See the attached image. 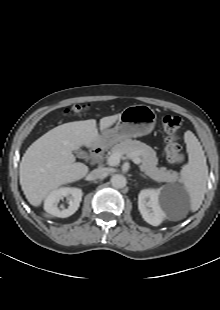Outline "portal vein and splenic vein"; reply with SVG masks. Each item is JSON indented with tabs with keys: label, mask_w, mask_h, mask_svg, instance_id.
I'll use <instances>...</instances> for the list:
<instances>
[{
	"label": "portal vein and splenic vein",
	"mask_w": 220,
	"mask_h": 310,
	"mask_svg": "<svg viewBox=\"0 0 220 310\" xmlns=\"http://www.w3.org/2000/svg\"><path fill=\"white\" fill-rule=\"evenodd\" d=\"M121 154L116 152V153H113L111 154L108 159H107V164L109 166H116L120 163V159H121ZM130 158L132 159V161L137 164V165H140L141 163V159L138 158L137 156L135 155H131Z\"/></svg>",
	"instance_id": "obj_1"
}]
</instances>
